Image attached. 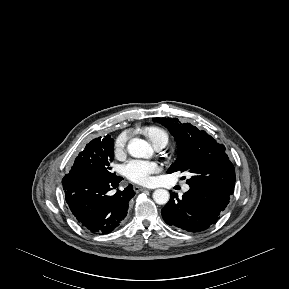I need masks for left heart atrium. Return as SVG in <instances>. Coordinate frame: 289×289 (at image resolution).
Segmentation results:
<instances>
[{
  "label": "left heart atrium",
  "mask_w": 289,
  "mask_h": 289,
  "mask_svg": "<svg viewBox=\"0 0 289 289\" xmlns=\"http://www.w3.org/2000/svg\"><path fill=\"white\" fill-rule=\"evenodd\" d=\"M160 171L156 162L132 160L124 167V175L134 183L148 185L153 181V174Z\"/></svg>",
  "instance_id": "obj_1"
}]
</instances>
